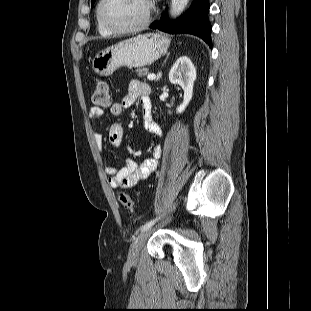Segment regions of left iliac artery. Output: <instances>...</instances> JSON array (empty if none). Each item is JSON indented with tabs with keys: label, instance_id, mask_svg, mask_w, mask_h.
<instances>
[{
	"label": "left iliac artery",
	"instance_id": "obj_1",
	"mask_svg": "<svg viewBox=\"0 0 311 311\" xmlns=\"http://www.w3.org/2000/svg\"><path fill=\"white\" fill-rule=\"evenodd\" d=\"M159 218H160V217H159ZM159 218L153 219V220H151V221L145 223V224L140 228L141 232H143V231L149 229L151 226H153V225L155 224V222H156Z\"/></svg>",
	"mask_w": 311,
	"mask_h": 311
}]
</instances>
